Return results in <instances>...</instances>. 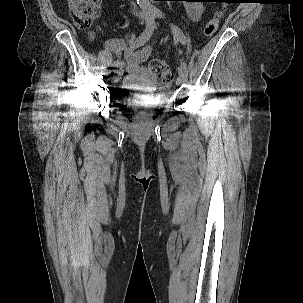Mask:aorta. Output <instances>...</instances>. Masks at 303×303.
I'll return each mask as SVG.
<instances>
[{"label": "aorta", "mask_w": 303, "mask_h": 303, "mask_svg": "<svg viewBox=\"0 0 303 303\" xmlns=\"http://www.w3.org/2000/svg\"><path fill=\"white\" fill-rule=\"evenodd\" d=\"M139 4L144 6V7H149L150 6V0H138Z\"/></svg>", "instance_id": "aorta-1"}]
</instances>
